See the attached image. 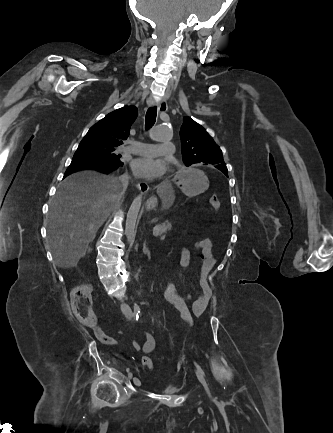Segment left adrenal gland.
<instances>
[{
	"instance_id": "left-adrenal-gland-1",
	"label": "left adrenal gland",
	"mask_w": 333,
	"mask_h": 433,
	"mask_svg": "<svg viewBox=\"0 0 333 433\" xmlns=\"http://www.w3.org/2000/svg\"><path fill=\"white\" fill-rule=\"evenodd\" d=\"M143 252H144L145 254H150L149 249L146 247V241H144V244H143Z\"/></svg>"
}]
</instances>
